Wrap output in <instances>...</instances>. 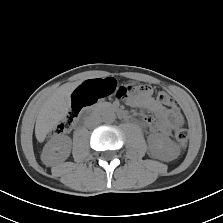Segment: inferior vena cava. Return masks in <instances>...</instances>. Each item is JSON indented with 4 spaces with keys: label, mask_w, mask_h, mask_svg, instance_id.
<instances>
[{
    "label": "inferior vena cava",
    "mask_w": 223,
    "mask_h": 223,
    "mask_svg": "<svg viewBox=\"0 0 223 223\" xmlns=\"http://www.w3.org/2000/svg\"><path fill=\"white\" fill-rule=\"evenodd\" d=\"M101 122V118L99 116H92L89 118L87 122L88 127H93L98 125Z\"/></svg>",
    "instance_id": "obj_1"
}]
</instances>
